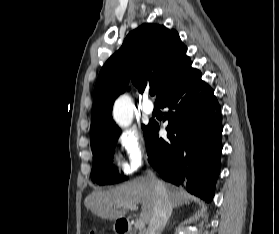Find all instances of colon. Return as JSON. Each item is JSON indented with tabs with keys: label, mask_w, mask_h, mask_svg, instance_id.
Listing matches in <instances>:
<instances>
[{
	"label": "colon",
	"mask_w": 279,
	"mask_h": 234,
	"mask_svg": "<svg viewBox=\"0 0 279 234\" xmlns=\"http://www.w3.org/2000/svg\"><path fill=\"white\" fill-rule=\"evenodd\" d=\"M90 234H96V232L92 231V232H90Z\"/></svg>",
	"instance_id": "obj_1"
}]
</instances>
